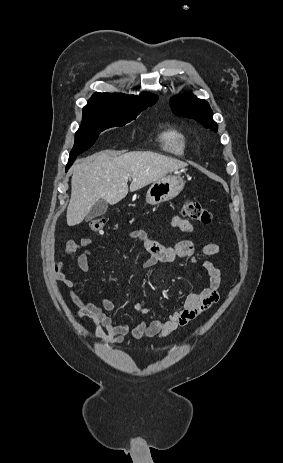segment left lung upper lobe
Returning a JSON list of instances; mask_svg holds the SVG:
<instances>
[{"instance_id":"obj_1","label":"left lung upper lobe","mask_w":283,"mask_h":463,"mask_svg":"<svg viewBox=\"0 0 283 463\" xmlns=\"http://www.w3.org/2000/svg\"><path fill=\"white\" fill-rule=\"evenodd\" d=\"M172 110L175 114L193 118L206 128L217 131V124L213 120V112L209 104L190 94L179 95L171 99Z\"/></svg>"}]
</instances>
